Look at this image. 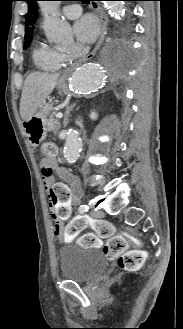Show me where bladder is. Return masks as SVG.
<instances>
[{
    "instance_id": "bladder-1",
    "label": "bladder",
    "mask_w": 183,
    "mask_h": 329,
    "mask_svg": "<svg viewBox=\"0 0 183 329\" xmlns=\"http://www.w3.org/2000/svg\"><path fill=\"white\" fill-rule=\"evenodd\" d=\"M61 276L70 281L86 282L103 273L108 260L96 247H80L71 242L58 250Z\"/></svg>"
}]
</instances>
